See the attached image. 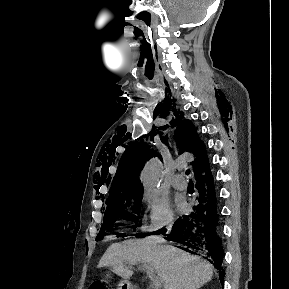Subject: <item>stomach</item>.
<instances>
[{
    "label": "stomach",
    "instance_id": "0dacf381",
    "mask_svg": "<svg viewBox=\"0 0 289 289\" xmlns=\"http://www.w3.org/2000/svg\"><path fill=\"white\" fill-rule=\"evenodd\" d=\"M119 289H133L127 280H122L119 284Z\"/></svg>",
    "mask_w": 289,
    "mask_h": 289
}]
</instances>
